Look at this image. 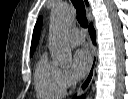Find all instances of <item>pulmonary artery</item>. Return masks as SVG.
Instances as JSON below:
<instances>
[{
    "label": "pulmonary artery",
    "mask_w": 128,
    "mask_h": 99,
    "mask_svg": "<svg viewBox=\"0 0 128 99\" xmlns=\"http://www.w3.org/2000/svg\"><path fill=\"white\" fill-rule=\"evenodd\" d=\"M68 37L71 43L75 45L82 44L85 40L84 34L77 28H73L69 31Z\"/></svg>",
    "instance_id": "1"
}]
</instances>
